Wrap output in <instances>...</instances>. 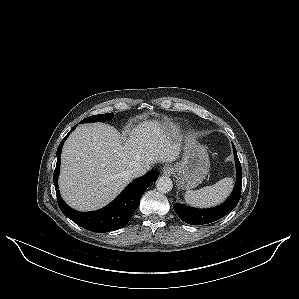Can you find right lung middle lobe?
I'll use <instances>...</instances> for the list:
<instances>
[{"mask_svg":"<svg viewBox=\"0 0 299 299\" xmlns=\"http://www.w3.org/2000/svg\"><path fill=\"white\" fill-rule=\"evenodd\" d=\"M114 117V113H107V114H99L85 118L80 123H87V122H102L111 120Z\"/></svg>","mask_w":299,"mask_h":299,"instance_id":"dd1d6c3e","label":"right lung middle lobe"}]
</instances>
